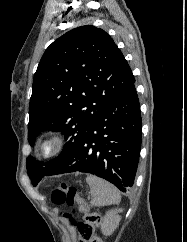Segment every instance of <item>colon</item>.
Segmentation results:
<instances>
[{"label":"colon","instance_id":"colon-1","mask_svg":"<svg viewBox=\"0 0 187 242\" xmlns=\"http://www.w3.org/2000/svg\"><path fill=\"white\" fill-rule=\"evenodd\" d=\"M51 202L59 206L80 204L84 207H88L87 203L79 195L77 189L73 186H67L66 184H61L52 189ZM65 216L69 218L76 227L79 242H102L95 236V230L101 221V216L98 213L88 209L79 221H74L73 216L69 213L65 214Z\"/></svg>","mask_w":187,"mask_h":242}]
</instances>
